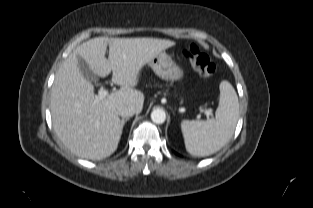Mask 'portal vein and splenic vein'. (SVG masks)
Masks as SVG:
<instances>
[{
  "label": "portal vein and splenic vein",
  "mask_w": 313,
  "mask_h": 208,
  "mask_svg": "<svg viewBox=\"0 0 313 208\" xmlns=\"http://www.w3.org/2000/svg\"><path fill=\"white\" fill-rule=\"evenodd\" d=\"M109 95V91L104 89V88H100L98 91V96L96 97V100H100L103 99L104 97ZM207 114V111L205 112Z\"/></svg>",
  "instance_id": "18ae733b"
}]
</instances>
